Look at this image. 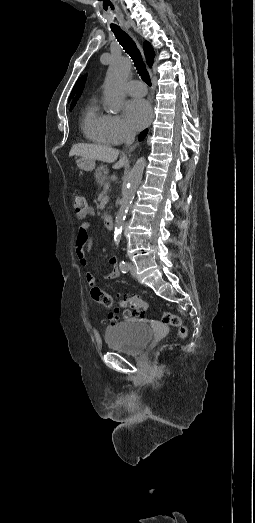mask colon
Instances as JSON below:
<instances>
[{"label": "colon", "mask_w": 255, "mask_h": 523, "mask_svg": "<svg viewBox=\"0 0 255 523\" xmlns=\"http://www.w3.org/2000/svg\"><path fill=\"white\" fill-rule=\"evenodd\" d=\"M72 204L75 208L76 212L81 213L84 212L87 209V200L83 194L80 192H75L72 195ZM90 286V293L91 297L94 301L97 303L107 307V308H113V307H129L133 313L129 311H125L123 314L124 318H129L132 315H143L148 310V304L144 300L136 297V296H124V297H114L104 291H102L99 287L95 285V283L91 280L89 281ZM115 317H112V320H115ZM161 321L164 324L170 325L172 327H175L178 330V336L180 338H184L187 335V328L183 324L181 318L173 314L171 312H164L161 317Z\"/></svg>", "instance_id": "colon-1"}]
</instances>
